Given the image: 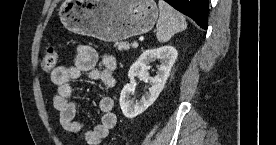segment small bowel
<instances>
[{
  "label": "small bowel",
  "instance_id": "c3829d8e",
  "mask_svg": "<svg viewBox=\"0 0 276 145\" xmlns=\"http://www.w3.org/2000/svg\"><path fill=\"white\" fill-rule=\"evenodd\" d=\"M116 64V59L110 55H105L98 62L94 48L79 45L76 48L73 65L57 66L51 71L50 79L57 87L53 105L59 113L60 124L67 132L80 137L87 145L101 144L115 127L117 120L114 114V100L110 96L100 98L101 122L92 130H85V124L76 118L78 103L72 100L74 88L70 82L89 74L92 79L101 82L105 87L112 88L115 84Z\"/></svg>",
  "mask_w": 276,
  "mask_h": 145
}]
</instances>
